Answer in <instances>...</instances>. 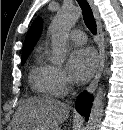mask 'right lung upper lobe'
<instances>
[{
    "instance_id": "cb5924a9",
    "label": "right lung upper lobe",
    "mask_w": 123,
    "mask_h": 130,
    "mask_svg": "<svg viewBox=\"0 0 123 130\" xmlns=\"http://www.w3.org/2000/svg\"><path fill=\"white\" fill-rule=\"evenodd\" d=\"M42 32V20L40 18L35 19L31 25L23 45L22 56L29 55L38 41Z\"/></svg>"
}]
</instances>
